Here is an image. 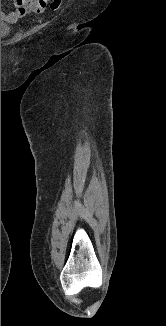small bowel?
<instances>
[{"label": "small bowel", "instance_id": "obj_1", "mask_svg": "<svg viewBox=\"0 0 166 326\" xmlns=\"http://www.w3.org/2000/svg\"><path fill=\"white\" fill-rule=\"evenodd\" d=\"M12 9L9 12L1 10V21L15 22L28 13H42L47 8L48 0H9Z\"/></svg>", "mask_w": 166, "mask_h": 326}]
</instances>
